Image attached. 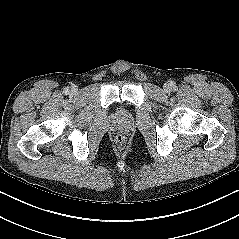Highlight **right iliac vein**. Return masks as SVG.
<instances>
[{"label": "right iliac vein", "mask_w": 239, "mask_h": 239, "mask_svg": "<svg viewBox=\"0 0 239 239\" xmlns=\"http://www.w3.org/2000/svg\"><path fill=\"white\" fill-rule=\"evenodd\" d=\"M72 92H74V93L77 92V88L73 87Z\"/></svg>", "instance_id": "right-iliac-vein-1"}]
</instances>
